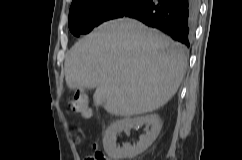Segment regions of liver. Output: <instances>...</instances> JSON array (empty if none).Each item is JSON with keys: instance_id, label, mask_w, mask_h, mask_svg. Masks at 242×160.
Instances as JSON below:
<instances>
[{"instance_id": "liver-1", "label": "liver", "mask_w": 242, "mask_h": 160, "mask_svg": "<svg viewBox=\"0 0 242 160\" xmlns=\"http://www.w3.org/2000/svg\"><path fill=\"white\" fill-rule=\"evenodd\" d=\"M186 62L183 45L122 18L103 23L70 49L65 80L70 90L95 88L97 106L129 117L166 104L181 84Z\"/></svg>"}]
</instances>
